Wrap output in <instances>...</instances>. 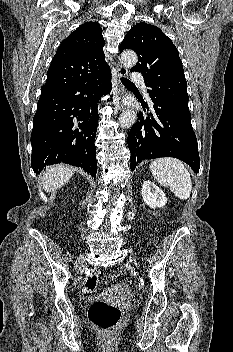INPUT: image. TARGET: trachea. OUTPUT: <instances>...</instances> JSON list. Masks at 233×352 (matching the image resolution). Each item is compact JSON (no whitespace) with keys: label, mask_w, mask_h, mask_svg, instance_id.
Instances as JSON below:
<instances>
[{"label":"trachea","mask_w":233,"mask_h":352,"mask_svg":"<svg viewBox=\"0 0 233 352\" xmlns=\"http://www.w3.org/2000/svg\"><path fill=\"white\" fill-rule=\"evenodd\" d=\"M121 82L124 85H134L130 80H128L127 78H124V77L121 78Z\"/></svg>","instance_id":"obj_1"}]
</instances>
